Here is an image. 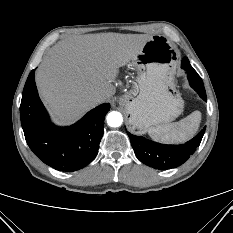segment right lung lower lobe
<instances>
[{
    "mask_svg": "<svg viewBox=\"0 0 233 233\" xmlns=\"http://www.w3.org/2000/svg\"><path fill=\"white\" fill-rule=\"evenodd\" d=\"M34 76L35 69L27 78L20 105L28 146L40 160L56 170L71 172L87 166L98 153L110 104L94 108L70 127L54 126L38 96Z\"/></svg>",
    "mask_w": 233,
    "mask_h": 233,
    "instance_id": "98d812e1",
    "label": "right lung lower lobe"
}]
</instances>
